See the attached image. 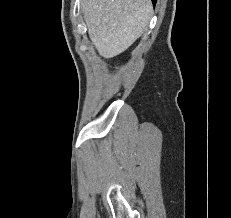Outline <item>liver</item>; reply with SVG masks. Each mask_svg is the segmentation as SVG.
Wrapping results in <instances>:
<instances>
[{"instance_id": "6515ba94", "label": "liver", "mask_w": 231, "mask_h": 218, "mask_svg": "<svg viewBox=\"0 0 231 218\" xmlns=\"http://www.w3.org/2000/svg\"><path fill=\"white\" fill-rule=\"evenodd\" d=\"M89 37L108 59L127 50L146 29L151 0H81Z\"/></svg>"}]
</instances>
